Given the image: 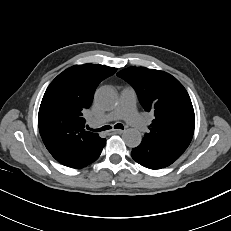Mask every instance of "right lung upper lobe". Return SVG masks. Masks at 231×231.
I'll list each match as a JSON object with an SVG mask.
<instances>
[{
  "label": "right lung upper lobe",
  "mask_w": 231,
  "mask_h": 231,
  "mask_svg": "<svg viewBox=\"0 0 231 231\" xmlns=\"http://www.w3.org/2000/svg\"><path fill=\"white\" fill-rule=\"evenodd\" d=\"M116 68L103 65H74L48 86L38 114L42 140L61 164L72 166L95 151L105 139L85 130L83 113L90 107L98 84Z\"/></svg>",
  "instance_id": "obj_1"
}]
</instances>
